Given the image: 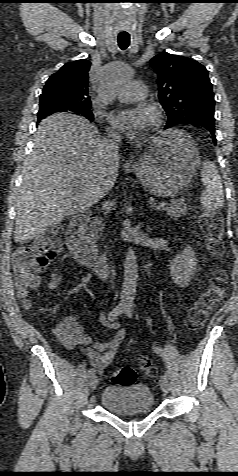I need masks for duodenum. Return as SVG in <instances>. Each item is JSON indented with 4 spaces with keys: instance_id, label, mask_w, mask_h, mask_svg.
I'll list each match as a JSON object with an SVG mask.
<instances>
[{
    "instance_id": "duodenum-1",
    "label": "duodenum",
    "mask_w": 238,
    "mask_h": 476,
    "mask_svg": "<svg viewBox=\"0 0 238 476\" xmlns=\"http://www.w3.org/2000/svg\"><path fill=\"white\" fill-rule=\"evenodd\" d=\"M89 221L87 213H81L74 217L68 225L66 244L73 257L96 276L106 278L110 275V256L100 254L91 249L84 234Z\"/></svg>"
}]
</instances>
